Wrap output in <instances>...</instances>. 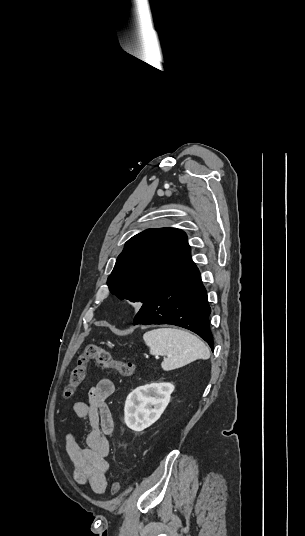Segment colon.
<instances>
[{
	"instance_id": "1",
	"label": "colon",
	"mask_w": 305,
	"mask_h": 536,
	"mask_svg": "<svg viewBox=\"0 0 305 536\" xmlns=\"http://www.w3.org/2000/svg\"><path fill=\"white\" fill-rule=\"evenodd\" d=\"M90 360H95L102 368L114 370L125 377H132L136 372V367L133 363L113 358L102 346L96 343H88L77 357L75 365L70 371L69 381L64 391L65 397H71L76 388L85 382ZM119 489L120 483L114 481L111 486L112 494H117Z\"/></svg>"
}]
</instances>
